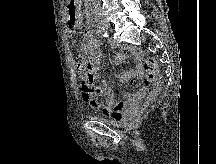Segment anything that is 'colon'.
<instances>
[{"mask_svg": "<svg viewBox=\"0 0 216 164\" xmlns=\"http://www.w3.org/2000/svg\"><path fill=\"white\" fill-rule=\"evenodd\" d=\"M77 66L80 70L86 71V84L88 86H92L96 77V69L88 62H85L83 59L77 61ZM144 68L147 72L148 78H152L156 68L155 60L152 57L147 58L144 63ZM129 84L133 85L135 84V81L131 80L129 81Z\"/></svg>", "mask_w": 216, "mask_h": 164, "instance_id": "colon-1", "label": "colon"}]
</instances>
